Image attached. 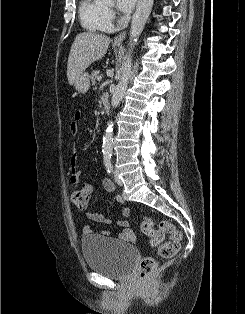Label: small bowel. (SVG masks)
<instances>
[{
  "label": "small bowel",
  "instance_id": "1",
  "mask_svg": "<svg viewBox=\"0 0 245 314\" xmlns=\"http://www.w3.org/2000/svg\"><path fill=\"white\" fill-rule=\"evenodd\" d=\"M80 119H81V113L80 112L75 113L73 121L71 122V125H70V131L73 134H76L78 132V122L80 121ZM78 158H79V153L76 149H74L71 152V156H70V167H69L70 182L73 185H80L82 187V190L87 191L89 195H91L95 191V186L91 183L81 181L80 170L77 165ZM101 186L107 192H113L115 190V184L108 178L102 179ZM116 200L122 205H124L120 217L116 219H112V218L106 217L102 213L89 212L87 213V218L90 221L95 222V223H104V224L115 223L116 225L121 227L117 238L120 241L125 242V243H134L136 241L135 233L127 227L128 223L126 221V217L129 213V209L125 206V200L121 196H117ZM93 231L94 229L91 225H85L83 228V233L86 235L93 233ZM101 234L105 236L110 235L108 231H102Z\"/></svg>",
  "mask_w": 245,
  "mask_h": 314
}]
</instances>
